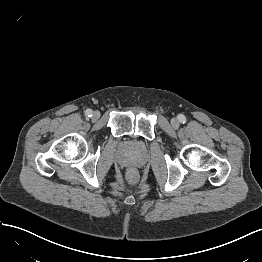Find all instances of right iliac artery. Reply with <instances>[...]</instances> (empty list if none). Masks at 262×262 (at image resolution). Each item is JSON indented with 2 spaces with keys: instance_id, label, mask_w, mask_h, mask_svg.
Masks as SVG:
<instances>
[{
  "instance_id": "right-iliac-artery-1",
  "label": "right iliac artery",
  "mask_w": 262,
  "mask_h": 262,
  "mask_svg": "<svg viewBox=\"0 0 262 262\" xmlns=\"http://www.w3.org/2000/svg\"><path fill=\"white\" fill-rule=\"evenodd\" d=\"M85 115H86L87 117H91V116H92V110L87 109L86 112H85Z\"/></svg>"
}]
</instances>
